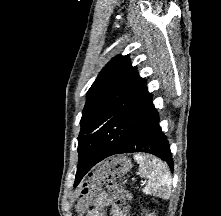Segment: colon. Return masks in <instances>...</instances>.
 I'll list each match as a JSON object with an SVG mask.
<instances>
[{
    "mask_svg": "<svg viewBox=\"0 0 221 216\" xmlns=\"http://www.w3.org/2000/svg\"><path fill=\"white\" fill-rule=\"evenodd\" d=\"M128 169L129 161L124 158H113L97 167L90 176L92 183L82 190L80 198L76 202L78 216H83L92 204L97 201L98 185L104 180L108 181L110 192L118 194V204L125 205L131 199V195L119 187L112 178L115 174L122 173ZM122 212L127 216L126 209L122 210Z\"/></svg>",
    "mask_w": 221,
    "mask_h": 216,
    "instance_id": "colon-1",
    "label": "colon"
}]
</instances>
